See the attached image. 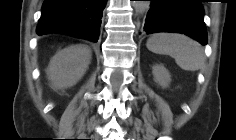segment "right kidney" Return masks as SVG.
Here are the masks:
<instances>
[{
	"mask_svg": "<svg viewBox=\"0 0 236 140\" xmlns=\"http://www.w3.org/2000/svg\"><path fill=\"white\" fill-rule=\"evenodd\" d=\"M91 60L88 46L71 45L50 60L47 75L53 89H65L75 85L85 74Z\"/></svg>",
	"mask_w": 236,
	"mask_h": 140,
	"instance_id": "right-kidney-1",
	"label": "right kidney"
}]
</instances>
